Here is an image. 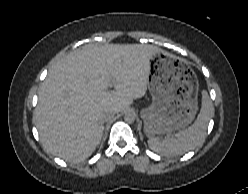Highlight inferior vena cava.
I'll use <instances>...</instances> for the list:
<instances>
[{
	"mask_svg": "<svg viewBox=\"0 0 248 194\" xmlns=\"http://www.w3.org/2000/svg\"><path fill=\"white\" fill-rule=\"evenodd\" d=\"M114 115H115L114 111H109L105 114L104 120L108 121V120L112 119L114 117Z\"/></svg>",
	"mask_w": 248,
	"mask_h": 194,
	"instance_id": "obj_1",
	"label": "inferior vena cava"
}]
</instances>
